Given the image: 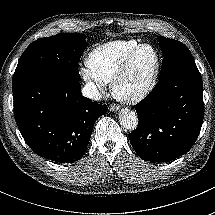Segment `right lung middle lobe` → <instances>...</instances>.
I'll return each instance as SVG.
<instances>
[{"label":"right lung middle lobe","mask_w":215,"mask_h":215,"mask_svg":"<svg viewBox=\"0 0 215 215\" xmlns=\"http://www.w3.org/2000/svg\"><path fill=\"white\" fill-rule=\"evenodd\" d=\"M83 34L63 33L31 43L21 55L12 79V88L38 77L80 81L79 59L87 46Z\"/></svg>","instance_id":"obj_1"}]
</instances>
